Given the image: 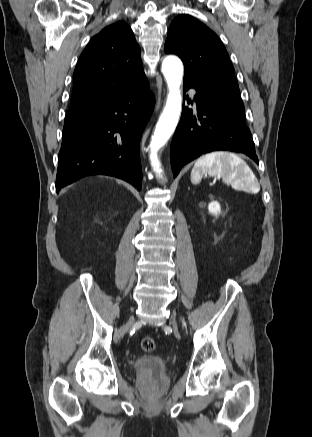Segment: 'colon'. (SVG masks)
<instances>
[{
    "label": "colon",
    "mask_w": 312,
    "mask_h": 437,
    "mask_svg": "<svg viewBox=\"0 0 312 437\" xmlns=\"http://www.w3.org/2000/svg\"><path fill=\"white\" fill-rule=\"evenodd\" d=\"M141 348L147 353H151L156 348L155 340L152 337H144L140 342Z\"/></svg>",
    "instance_id": "5ec220e1"
}]
</instances>
